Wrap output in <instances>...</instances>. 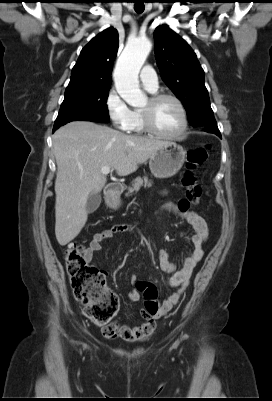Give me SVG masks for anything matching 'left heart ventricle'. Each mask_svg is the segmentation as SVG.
Here are the masks:
<instances>
[{
  "mask_svg": "<svg viewBox=\"0 0 272 401\" xmlns=\"http://www.w3.org/2000/svg\"><path fill=\"white\" fill-rule=\"evenodd\" d=\"M149 106V100L142 106ZM153 122L158 130L166 134H175L182 128V115L178 105L170 99L159 101L152 109Z\"/></svg>",
  "mask_w": 272,
  "mask_h": 401,
  "instance_id": "left-heart-ventricle-1",
  "label": "left heart ventricle"
}]
</instances>
